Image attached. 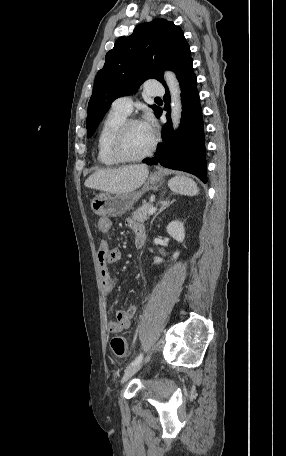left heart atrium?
Masks as SVG:
<instances>
[{
    "label": "left heart atrium",
    "instance_id": "1",
    "mask_svg": "<svg viewBox=\"0 0 286 456\" xmlns=\"http://www.w3.org/2000/svg\"><path fill=\"white\" fill-rule=\"evenodd\" d=\"M146 127L151 131V133L153 132V128H154V121L151 117H149L145 123Z\"/></svg>",
    "mask_w": 286,
    "mask_h": 456
}]
</instances>
